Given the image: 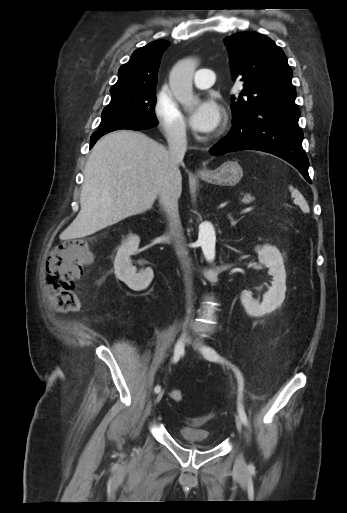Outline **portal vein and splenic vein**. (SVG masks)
<instances>
[{"instance_id":"portal-vein-and-splenic-vein-1","label":"portal vein and splenic vein","mask_w":347,"mask_h":513,"mask_svg":"<svg viewBox=\"0 0 347 513\" xmlns=\"http://www.w3.org/2000/svg\"><path fill=\"white\" fill-rule=\"evenodd\" d=\"M253 207H248V208H245L241 211L242 214H246V213H249V212H252L253 211Z\"/></svg>"}]
</instances>
